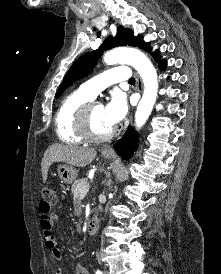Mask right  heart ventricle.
<instances>
[{
    "label": "right heart ventricle",
    "mask_w": 221,
    "mask_h": 274,
    "mask_svg": "<svg viewBox=\"0 0 221 274\" xmlns=\"http://www.w3.org/2000/svg\"><path fill=\"white\" fill-rule=\"evenodd\" d=\"M92 100L93 97L78 89L61 101L55 115V132L60 141L72 145L84 142L77 129L76 118L79 109Z\"/></svg>",
    "instance_id": "1"
}]
</instances>
